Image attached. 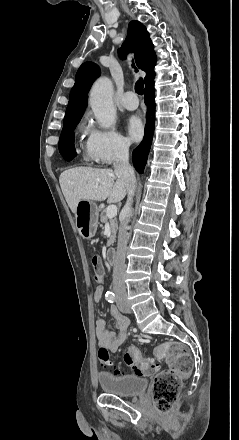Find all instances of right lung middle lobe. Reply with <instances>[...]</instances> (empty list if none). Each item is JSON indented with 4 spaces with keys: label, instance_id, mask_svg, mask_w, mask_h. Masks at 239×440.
<instances>
[{
    "label": "right lung middle lobe",
    "instance_id": "dd1d6c3e",
    "mask_svg": "<svg viewBox=\"0 0 239 440\" xmlns=\"http://www.w3.org/2000/svg\"><path fill=\"white\" fill-rule=\"evenodd\" d=\"M81 117L63 125L59 140L60 153L72 149L74 147V129L80 121Z\"/></svg>",
    "mask_w": 239,
    "mask_h": 440
}]
</instances>
